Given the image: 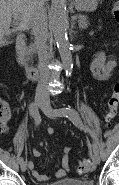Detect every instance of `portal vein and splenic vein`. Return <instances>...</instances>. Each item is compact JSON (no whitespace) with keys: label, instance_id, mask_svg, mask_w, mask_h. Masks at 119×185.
I'll return each mask as SVG.
<instances>
[{"label":"portal vein and splenic vein","instance_id":"portal-vein-and-splenic-vein-1","mask_svg":"<svg viewBox=\"0 0 119 185\" xmlns=\"http://www.w3.org/2000/svg\"><path fill=\"white\" fill-rule=\"evenodd\" d=\"M14 17H15L16 20H19V19H20L19 14H15ZM75 18H76V17H75Z\"/></svg>","mask_w":119,"mask_h":185}]
</instances>
